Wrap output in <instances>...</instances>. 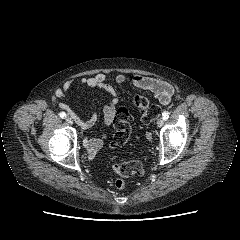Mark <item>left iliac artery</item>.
Here are the masks:
<instances>
[{
	"instance_id": "1",
	"label": "left iliac artery",
	"mask_w": 240,
	"mask_h": 240,
	"mask_svg": "<svg viewBox=\"0 0 240 240\" xmlns=\"http://www.w3.org/2000/svg\"><path fill=\"white\" fill-rule=\"evenodd\" d=\"M162 117H163L164 120H167L169 118V112L168 111H164L162 113Z\"/></svg>"
}]
</instances>
